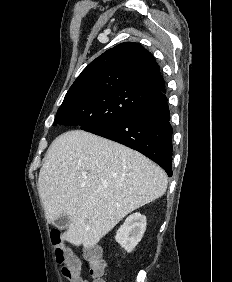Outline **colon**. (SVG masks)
<instances>
[{
  "mask_svg": "<svg viewBox=\"0 0 232 282\" xmlns=\"http://www.w3.org/2000/svg\"><path fill=\"white\" fill-rule=\"evenodd\" d=\"M51 240L54 246L55 259L57 263L63 265L61 269L63 276L71 282L77 281V279L81 278V261L63 247L59 230L53 229L51 231ZM85 262L93 282H105V264L97 249L92 248L87 251Z\"/></svg>",
  "mask_w": 232,
  "mask_h": 282,
  "instance_id": "1",
  "label": "colon"
}]
</instances>
